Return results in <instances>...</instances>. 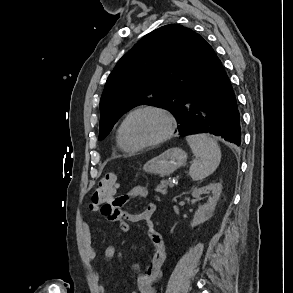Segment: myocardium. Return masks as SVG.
<instances>
[{
    "label": "myocardium",
    "instance_id": "myocardium-1",
    "mask_svg": "<svg viewBox=\"0 0 293 293\" xmlns=\"http://www.w3.org/2000/svg\"><path fill=\"white\" fill-rule=\"evenodd\" d=\"M144 111L154 112L162 116L164 120L166 121V129L160 137H158L157 139L153 141L142 143V144H132L131 142H129L126 136V131H125L126 124L133 115L139 112H144ZM175 129H176V121L174 117L167 110L158 106H154V105H143V106L134 108L124 117V119L122 120L120 124V135L124 145L127 148L133 151H137V150H142V149L161 145L162 143L166 142L173 136Z\"/></svg>",
    "mask_w": 293,
    "mask_h": 293
}]
</instances>
